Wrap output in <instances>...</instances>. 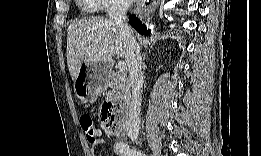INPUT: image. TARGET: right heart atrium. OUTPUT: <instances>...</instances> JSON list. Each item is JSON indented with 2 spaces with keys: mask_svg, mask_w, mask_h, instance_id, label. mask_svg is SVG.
Wrapping results in <instances>:
<instances>
[{
  "mask_svg": "<svg viewBox=\"0 0 261 156\" xmlns=\"http://www.w3.org/2000/svg\"><path fill=\"white\" fill-rule=\"evenodd\" d=\"M118 1L112 0H90V7L95 10H111L113 8L121 7Z\"/></svg>",
  "mask_w": 261,
  "mask_h": 156,
  "instance_id": "obj_1",
  "label": "right heart atrium"
}]
</instances>
